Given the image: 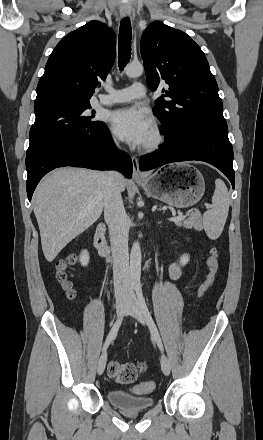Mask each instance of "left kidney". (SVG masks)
I'll use <instances>...</instances> for the list:
<instances>
[{
  "instance_id": "obj_1",
  "label": "left kidney",
  "mask_w": 263,
  "mask_h": 440,
  "mask_svg": "<svg viewBox=\"0 0 263 440\" xmlns=\"http://www.w3.org/2000/svg\"><path fill=\"white\" fill-rule=\"evenodd\" d=\"M189 262V255L184 254L180 257V263L182 266H185Z\"/></svg>"
}]
</instances>
